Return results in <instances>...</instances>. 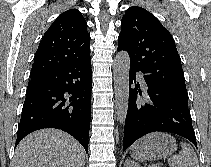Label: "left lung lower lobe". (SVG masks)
Instances as JSON below:
<instances>
[{
	"instance_id": "obj_1",
	"label": "left lung lower lobe",
	"mask_w": 211,
	"mask_h": 167,
	"mask_svg": "<svg viewBox=\"0 0 211 167\" xmlns=\"http://www.w3.org/2000/svg\"><path fill=\"white\" fill-rule=\"evenodd\" d=\"M139 71L140 69L130 64L123 151L140 137L155 131L178 134L197 146L188 98L156 85L144 74L148 90L146 100H141L142 91L139 83L136 84V72ZM134 83L135 87L132 88Z\"/></svg>"
}]
</instances>
